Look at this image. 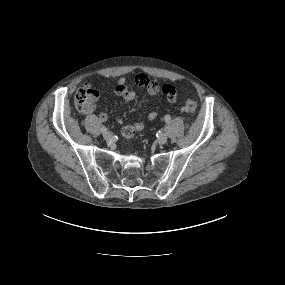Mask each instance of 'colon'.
Here are the masks:
<instances>
[{
    "instance_id": "obj_1",
    "label": "colon",
    "mask_w": 285,
    "mask_h": 285,
    "mask_svg": "<svg viewBox=\"0 0 285 285\" xmlns=\"http://www.w3.org/2000/svg\"><path fill=\"white\" fill-rule=\"evenodd\" d=\"M95 93L96 91L92 88L86 87L80 89L75 96L76 105L80 109L85 108L89 100L91 99V97L95 95ZM196 109H197V101L194 98H187L183 107L184 112L192 114L196 111ZM122 133L124 137L131 138L134 136L135 130L131 125H127L123 128Z\"/></svg>"
}]
</instances>
